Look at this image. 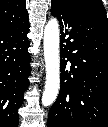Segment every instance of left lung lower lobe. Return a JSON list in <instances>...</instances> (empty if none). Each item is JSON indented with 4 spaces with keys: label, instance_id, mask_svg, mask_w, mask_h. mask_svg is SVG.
Here are the masks:
<instances>
[{
    "label": "left lung lower lobe",
    "instance_id": "1",
    "mask_svg": "<svg viewBox=\"0 0 108 127\" xmlns=\"http://www.w3.org/2000/svg\"><path fill=\"white\" fill-rule=\"evenodd\" d=\"M51 13L60 23L61 87L47 126L108 127V21L70 0H52Z\"/></svg>",
    "mask_w": 108,
    "mask_h": 127
}]
</instances>
